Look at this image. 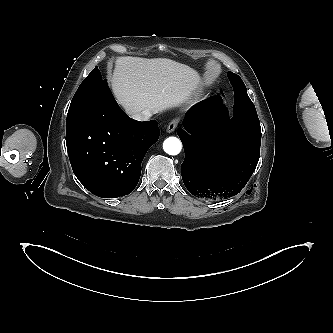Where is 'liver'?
<instances>
[{"mask_svg": "<svg viewBox=\"0 0 333 333\" xmlns=\"http://www.w3.org/2000/svg\"><path fill=\"white\" fill-rule=\"evenodd\" d=\"M202 80L191 67L167 58L119 57L111 77L112 91L132 116L177 107L199 89Z\"/></svg>", "mask_w": 333, "mask_h": 333, "instance_id": "obj_1", "label": "liver"}]
</instances>
